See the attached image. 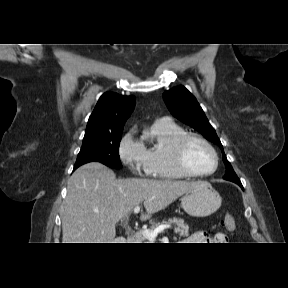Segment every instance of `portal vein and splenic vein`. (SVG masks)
Here are the masks:
<instances>
[{
	"label": "portal vein and splenic vein",
	"mask_w": 288,
	"mask_h": 288,
	"mask_svg": "<svg viewBox=\"0 0 288 288\" xmlns=\"http://www.w3.org/2000/svg\"><path fill=\"white\" fill-rule=\"evenodd\" d=\"M134 213L137 214L140 212V206L137 205L136 207H134L133 209ZM170 228L169 225H160L158 226L156 229L154 230H148V229H145V230H142L141 233L143 234V236H145L149 241H153L156 239L157 235L164 231L165 229H168Z\"/></svg>",
	"instance_id": "1"
}]
</instances>
